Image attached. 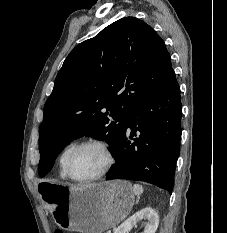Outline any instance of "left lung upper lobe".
Returning <instances> with one entry per match:
<instances>
[{
	"label": "left lung upper lobe",
	"instance_id": "5c2ea615",
	"mask_svg": "<svg viewBox=\"0 0 227 233\" xmlns=\"http://www.w3.org/2000/svg\"><path fill=\"white\" fill-rule=\"evenodd\" d=\"M172 71L164 41L135 17H125L76 46L44 105L39 129V176L76 138L105 140L115 155L132 107Z\"/></svg>",
	"mask_w": 227,
	"mask_h": 233
}]
</instances>
